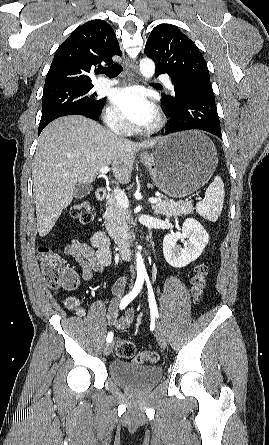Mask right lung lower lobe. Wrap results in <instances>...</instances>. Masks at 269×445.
<instances>
[{
	"mask_svg": "<svg viewBox=\"0 0 269 445\" xmlns=\"http://www.w3.org/2000/svg\"><path fill=\"white\" fill-rule=\"evenodd\" d=\"M98 116H99V114H98L97 116H86V117L91 118V119H93V120H97V119H98ZM39 132H41V131H39Z\"/></svg>",
	"mask_w": 269,
	"mask_h": 445,
	"instance_id": "right-lung-lower-lobe-1",
	"label": "right lung lower lobe"
}]
</instances>
